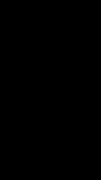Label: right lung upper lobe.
Listing matches in <instances>:
<instances>
[{"mask_svg": "<svg viewBox=\"0 0 101 180\" xmlns=\"http://www.w3.org/2000/svg\"><path fill=\"white\" fill-rule=\"evenodd\" d=\"M39 55L15 52L0 61V148L14 149L34 130L31 99L25 88L31 80Z\"/></svg>", "mask_w": 101, "mask_h": 180, "instance_id": "cb5924a9", "label": "right lung upper lobe"}]
</instances>
